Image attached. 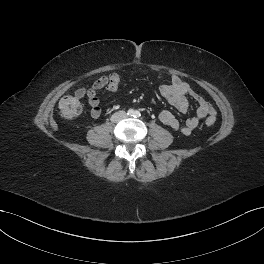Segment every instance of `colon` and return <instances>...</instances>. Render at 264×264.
<instances>
[{
    "instance_id": "obj_1",
    "label": "colon",
    "mask_w": 264,
    "mask_h": 264,
    "mask_svg": "<svg viewBox=\"0 0 264 264\" xmlns=\"http://www.w3.org/2000/svg\"><path fill=\"white\" fill-rule=\"evenodd\" d=\"M81 103L77 95H68L63 97L59 102V111L61 115L67 119L77 117L81 113ZM215 117H208L206 124L213 126L215 124Z\"/></svg>"
}]
</instances>
